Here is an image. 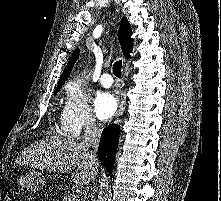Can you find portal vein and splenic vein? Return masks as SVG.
Segmentation results:
<instances>
[{
    "instance_id": "portal-vein-and-splenic-vein-1",
    "label": "portal vein and splenic vein",
    "mask_w": 221,
    "mask_h": 201,
    "mask_svg": "<svg viewBox=\"0 0 221 201\" xmlns=\"http://www.w3.org/2000/svg\"><path fill=\"white\" fill-rule=\"evenodd\" d=\"M79 199V197L77 195H72L69 197L68 201H75V199Z\"/></svg>"
}]
</instances>
